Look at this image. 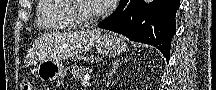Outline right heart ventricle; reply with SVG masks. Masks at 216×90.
Here are the masks:
<instances>
[{
  "label": "right heart ventricle",
  "instance_id": "e07e8e85",
  "mask_svg": "<svg viewBox=\"0 0 216 90\" xmlns=\"http://www.w3.org/2000/svg\"><path fill=\"white\" fill-rule=\"evenodd\" d=\"M41 7H36L35 16H37L38 29H66L80 28L74 21H70L64 11L65 2L69 0H39Z\"/></svg>",
  "mask_w": 216,
  "mask_h": 90
}]
</instances>
